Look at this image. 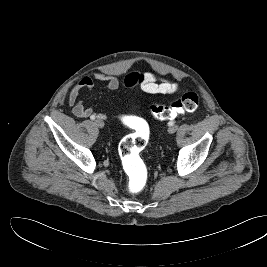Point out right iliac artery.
Returning a JSON list of instances; mask_svg holds the SVG:
<instances>
[{
	"instance_id": "1",
	"label": "right iliac artery",
	"mask_w": 267,
	"mask_h": 267,
	"mask_svg": "<svg viewBox=\"0 0 267 267\" xmlns=\"http://www.w3.org/2000/svg\"><path fill=\"white\" fill-rule=\"evenodd\" d=\"M95 118L96 117L94 115L90 117L91 120H95Z\"/></svg>"
}]
</instances>
